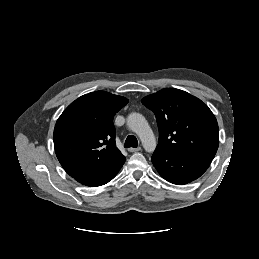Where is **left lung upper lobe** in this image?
I'll list each match as a JSON object with an SVG mask.
<instances>
[{"label":"left lung upper lobe","instance_id":"5c2ea615","mask_svg":"<svg viewBox=\"0 0 259 259\" xmlns=\"http://www.w3.org/2000/svg\"><path fill=\"white\" fill-rule=\"evenodd\" d=\"M142 103L156 116L158 149L180 157L214 158L219 143L218 124L200 99L166 88L144 97Z\"/></svg>","mask_w":259,"mask_h":259}]
</instances>
